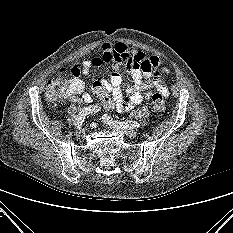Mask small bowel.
<instances>
[{"instance_id": "c3829d8e", "label": "small bowel", "mask_w": 233, "mask_h": 233, "mask_svg": "<svg viewBox=\"0 0 233 233\" xmlns=\"http://www.w3.org/2000/svg\"><path fill=\"white\" fill-rule=\"evenodd\" d=\"M101 55H90L84 59L81 65L76 64L71 68L72 79L68 84V99L83 103H91V93L84 92L85 83L80 78V73L88 74L93 67L102 63H110L114 69L109 80L101 79L99 82L112 94L115 106L119 112H127L142 102L149 100L152 93L144 92L151 86H155L158 92L167 95L168 89L164 83V75L168 72L160 66L157 56H147L144 52L129 48L124 43L105 42L101 46ZM120 67H125L134 81V86L124 88ZM81 95L80 99L75 96Z\"/></svg>"}]
</instances>
